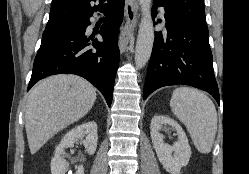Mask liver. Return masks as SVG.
<instances>
[{
	"label": "liver",
	"instance_id": "obj_1",
	"mask_svg": "<svg viewBox=\"0 0 249 174\" xmlns=\"http://www.w3.org/2000/svg\"><path fill=\"white\" fill-rule=\"evenodd\" d=\"M96 89L76 75L59 74L42 80L29 93L25 129L31 154L93 107Z\"/></svg>",
	"mask_w": 249,
	"mask_h": 174
}]
</instances>
